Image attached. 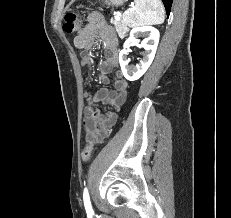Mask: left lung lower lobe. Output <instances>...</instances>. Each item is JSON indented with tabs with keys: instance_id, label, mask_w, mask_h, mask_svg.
<instances>
[{
	"instance_id": "1",
	"label": "left lung lower lobe",
	"mask_w": 231,
	"mask_h": 218,
	"mask_svg": "<svg viewBox=\"0 0 231 218\" xmlns=\"http://www.w3.org/2000/svg\"><path fill=\"white\" fill-rule=\"evenodd\" d=\"M172 1L173 0H162V2L164 3L165 9H166V13L169 16L170 10H171V5H172Z\"/></svg>"
}]
</instances>
